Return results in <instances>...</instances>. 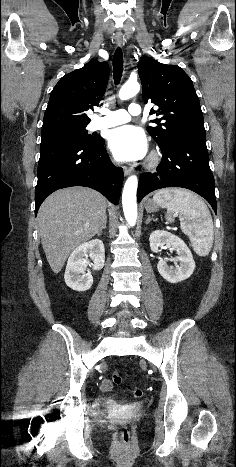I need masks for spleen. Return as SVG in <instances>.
<instances>
[{
    "label": "spleen",
    "mask_w": 236,
    "mask_h": 467,
    "mask_svg": "<svg viewBox=\"0 0 236 467\" xmlns=\"http://www.w3.org/2000/svg\"><path fill=\"white\" fill-rule=\"evenodd\" d=\"M153 200L167 209L166 219L174 222L172 214L181 218L180 227L199 256H207L214 241L213 221L205 202L196 194L179 188L161 189Z\"/></svg>",
    "instance_id": "1"
}]
</instances>
